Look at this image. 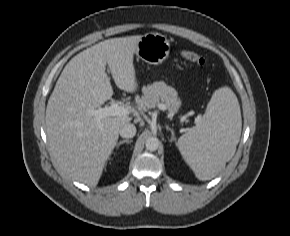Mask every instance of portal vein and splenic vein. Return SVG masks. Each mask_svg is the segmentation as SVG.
Masks as SVG:
<instances>
[{"instance_id": "1", "label": "portal vein and splenic vein", "mask_w": 290, "mask_h": 236, "mask_svg": "<svg viewBox=\"0 0 290 236\" xmlns=\"http://www.w3.org/2000/svg\"><path fill=\"white\" fill-rule=\"evenodd\" d=\"M160 110H165L166 106L164 104H158ZM130 108L125 105H120L117 102L112 103L110 106H105L103 108H98L95 110H89L88 114L93 116L97 122L106 117L113 116H126L130 113Z\"/></svg>"}]
</instances>
